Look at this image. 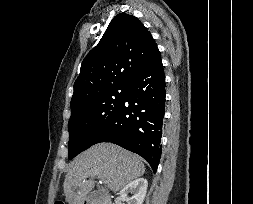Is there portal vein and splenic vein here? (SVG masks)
I'll list each match as a JSON object with an SVG mask.
<instances>
[{
  "mask_svg": "<svg viewBox=\"0 0 253 204\" xmlns=\"http://www.w3.org/2000/svg\"><path fill=\"white\" fill-rule=\"evenodd\" d=\"M100 183H105L104 181L100 180Z\"/></svg>",
  "mask_w": 253,
  "mask_h": 204,
  "instance_id": "obj_1",
  "label": "portal vein and splenic vein"
}]
</instances>
